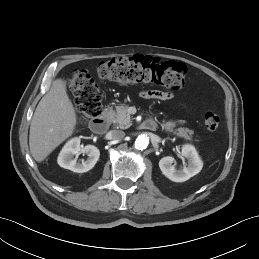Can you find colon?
<instances>
[{
  "label": "colon",
  "mask_w": 259,
  "mask_h": 259,
  "mask_svg": "<svg viewBox=\"0 0 259 259\" xmlns=\"http://www.w3.org/2000/svg\"><path fill=\"white\" fill-rule=\"evenodd\" d=\"M101 79L121 84L151 83L178 90L186 82V67L175 61H160L144 55L120 57L101 62L96 68ZM68 87L75 97V106L83 123L100 114L102 94L91 74L84 69H76L68 79ZM208 131H215L220 124L219 114L207 110L203 116Z\"/></svg>",
  "instance_id": "colon-1"
}]
</instances>
